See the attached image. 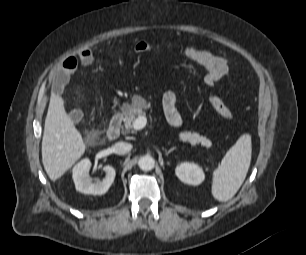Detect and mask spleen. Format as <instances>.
Returning <instances> with one entry per match:
<instances>
[{
  "label": "spleen",
  "instance_id": "3e777b00",
  "mask_svg": "<svg viewBox=\"0 0 306 255\" xmlns=\"http://www.w3.org/2000/svg\"><path fill=\"white\" fill-rule=\"evenodd\" d=\"M251 154V135L243 134L213 172L211 192L217 201L226 202L237 193L250 167Z\"/></svg>",
  "mask_w": 306,
  "mask_h": 255
}]
</instances>
